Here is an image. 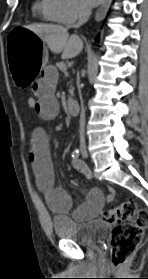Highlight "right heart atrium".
Listing matches in <instances>:
<instances>
[{
	"instance_id": "right-heart-atrium-1",
	"label": "right heart atrium",
	"mask_w": 148,
	"mask_h": 279,
	"mask_svg": "<svg viewBox=\"0 0 148 279\" xmlns=\"http://www.w3.org/2000/svg\"><path fill=\"white\" fill-rule=\"evenodd\" d=\"M53 10L61 23L72 24L86 13L78 0H52Z\"/></svg>"
}]
</instances>
